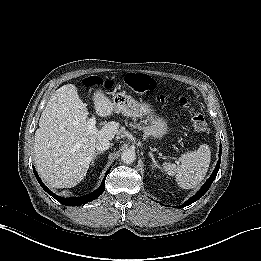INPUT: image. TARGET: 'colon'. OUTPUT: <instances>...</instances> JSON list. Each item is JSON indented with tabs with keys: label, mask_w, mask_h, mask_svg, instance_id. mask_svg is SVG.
<instances>
[{
	"label": "colon",
	"mask_w": 261,
	"mask_h": 261,
	"mask_svg": "<svg viewBox=\"0 0 261 261\" xmlns=\"http://www.w3.org/2000/svg\"><path fill=\"white\" fill-rule=\"evenodd\" d=\"M100 81L96 78H88L85 82L87 87H94L98 85ZM129 85L137 92L146 93L152 91L155 88L154 80L147 74L134 73L128 77ZM172 97L178 102L183 108H188L191 116L193 125L200 131L207 129V123L203 115L195 112V109L190 105L189 100L186 96L177 93L172 94ZM159 103H166L167 97L159 95L157 97Z\"/></svg>",
	"instance_id": "colon-1"
}]
</instances>
